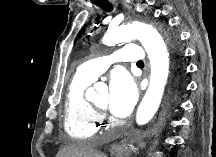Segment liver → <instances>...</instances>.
I'll use <instances>...</instances> for the list:
<instances>
[{"mask_svg":"<svg viewBox=\"0 0 216 157\" xmlns=\"http://www.w3.org/2000/svg\"><path fill=\"white\" fill-rule=\"evenodd\" d=\"M57 157H104V154L95 151L87 143L73 142L61 150Z\"/></svg>","mask_w":216,"mask_h":157,"instance_id":"liver-1","label":"liver"}]
</instances>
